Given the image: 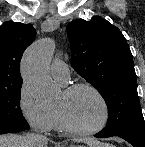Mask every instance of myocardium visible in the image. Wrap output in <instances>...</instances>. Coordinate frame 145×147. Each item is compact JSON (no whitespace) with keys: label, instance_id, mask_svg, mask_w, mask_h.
<instances>
[{"label":"myocardium","instance_id":"myocardium-1","mask_svg":"<svg viewBox=\"0 0 145 147\" xmlns=\"http://www.w3.org/2000/svg\"><path fill=\"white\" fill-rule=\"evenodd\" d=\"M79 89L90 90L98 98V100L100 101L102 105L103 118L97 126L90 129L75 128L67 122V120L65 119L62 112L59 109L55 108L54 111H55L59 126L62 130L75 136H91L102 131L107 126L110 119V107L106 98L101 93V91L90 83H86V82L74 83L66 87L63 92L67 95H70Z\"/></svg>","mask_w":145,"mask_h":147}]
</instances>
